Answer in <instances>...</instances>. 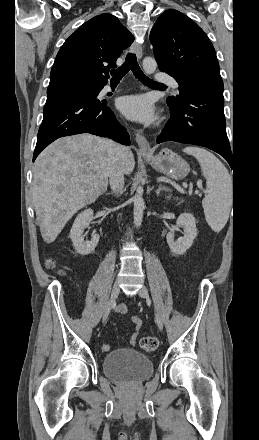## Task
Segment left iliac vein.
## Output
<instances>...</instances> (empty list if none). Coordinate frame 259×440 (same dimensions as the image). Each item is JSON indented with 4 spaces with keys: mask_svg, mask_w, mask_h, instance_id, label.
Listing matches in <instances>:
<instances>
[{
    "mask_svg": "<svg viewBox=\"0 0 259 440\" xmlns=\"http://www.w3.org/2000/svg\"><path fill=\"white\" fill-rule=\"evenodd\" d=\"M138 295H139L141 298L147 300L148 302L150 301V299H149V294H148V290L146 289V287H144V286L141 287V288L138 290ZM155 320H156V324H157L159 330H163V322H162V319H161L160 315H159L157 312H156V314H155Z\"/></svg>",
    "mask_w": 259,
    "mask_h": 440,
    "instance_id": "obj_1",
    "label": "left iliac vein"
}]
</instances>
